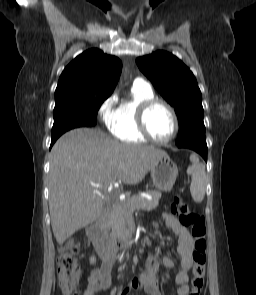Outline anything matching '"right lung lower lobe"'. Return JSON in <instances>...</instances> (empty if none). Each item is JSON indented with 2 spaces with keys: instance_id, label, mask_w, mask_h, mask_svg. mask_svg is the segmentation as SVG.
Returning a JSON list of instances; mask_svg holds the SVG:
<instances>
[{
  "instance_id": "98d812e1",
  "label": "right lung lower lobe",
  "mask_w": 256,
  "mask_h": 295,
  "mask_svg": "<svg viewBox=\"0 0 256 295\" xmlns=\"http://www.w3.org/2000/svg\"><path fill=\"white\" fill-rule=\"evenodd\" d=\"M96 125V120H94V119H90V120H88L84 125H82V126H85V127H93V126H95ZM82 126H80V127H82ZM76 128V127H75ZM72 129V128H71ZM68 130H70V129H68ZM68 130H63V131H58V132H54V133H52V141H51V146H50V148L52 147V145L55 143V141L63 134V133H65L66 131H68Z\"/></svg>"
}]
</instances>
